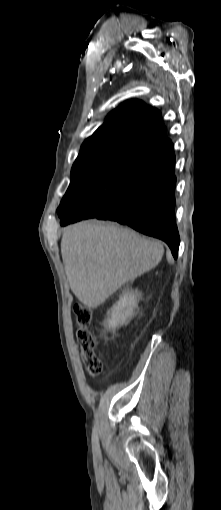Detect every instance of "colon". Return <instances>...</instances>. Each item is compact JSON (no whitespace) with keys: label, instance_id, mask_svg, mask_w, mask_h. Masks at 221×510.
I'll list each match as a JSON object with an SVG mask.
<instances>
[{"label":"colon","instance_id":"obj_1","mask_svg":"<svg viewBox=\"0 0 221 510\" xmlns=\"http://www.w3.org/2000/svg\"><path fill=\"white\" fill-rule=\"evenodd\" d=\"M75 316L79 326L77 340L81 347V359L86 373L91 377L97 376L102 372L103 362L96 354V338L89 329L93 311L90 307L78 305L75 307Z\"/></svg>","mask_w":221,"mask_h":510}]
</instances>
